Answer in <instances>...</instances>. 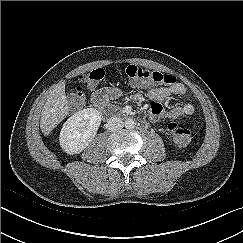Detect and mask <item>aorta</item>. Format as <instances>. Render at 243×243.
Returning a JSON list of instances; mask_svg holds the SVG:
<instances>
[{
	"label": "aorta",
	"mask_w": 243,
	"mask_h": 243,
	"mask_svg": "<svg viewBox=\"0 0 243 243\" xmlns=\"http://www.w3.org/2000/svg\"><path fill=\"white\" fill-rule=\"evenodd\" d=\"M124 124L127 129H133L136 125V122L133 119L128 118L125 120Z\"/></svg>",
	"instance_id": "obj_1"
}]
</instances>
